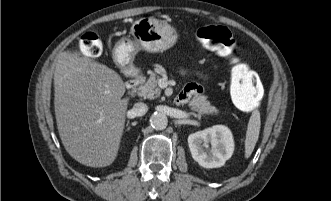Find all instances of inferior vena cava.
<instances>
[{
  "label": "inferior vena cava",
  "instance_id": "inferior-vena-cava-1",
  "mask_svg": "<svg viewBox=\"0 0 331 201\" xmlns=\"http://www.w3.org/2000/svg\"><path fill=\"white\" fill-rule=\"evenodd\" d=\"M147 111H148V106L143 102H138L135 103L133 108L131 109V114L134 117H140L145 115Z\"/></svg>",
  "mask_w": 331,
  "mask_h": 201
}]
</instances>
